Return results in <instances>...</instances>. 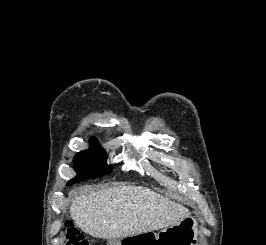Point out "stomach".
Here are the masks:
<instances>
[{
	"mask_svg": "<svg viewBox=\"0 0 266 245\" xmlns=\"http://www.w3.org/2000/svg\"><path fill=\"white\" fill-rule=\"evenodd\" d=\"M123 242H158L159 245H198V223L193 217H185L181 223L165 227L156 233H129Z\"/></svg>",
	"mask_w": 266,
	"mask_h": 245,
	"instance_id": "1",
	"label": "stomach"
}]
</instances>
